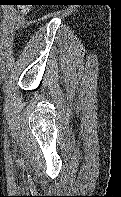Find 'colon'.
I'll return each mask as SVG.
<instances>
[{"mask_svg":"<svg viewBox=\"0 0 121 197\" xmlns=\"http://www.w3.org/2000/svg\"><path fill=\"white\" fill-rule=\"evenodd\" d=\"M21 2H23L24 4L21 6V11L22 12H27L29 10L30 7V2H32L31 0H22Z\"/></svg>","mask_w":121,"mask_h":197,"instance_id":"colon-1","label":"colon"}]
</instances>
